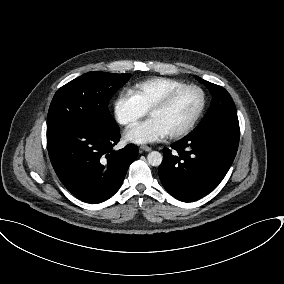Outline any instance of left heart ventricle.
I'll return each instance as SVG.
<instances>
[{"label":"left heart ventricle","mask_w":284,"mask_h":284,"mask_svg":"<svg viewBox=\"0 0 284 284\" xmlns=\"http://www.w3.org/2000/svg\"><path fill=\"white\" fill-rule=\"evenodd\" d=\"M201 95L195 89L181 92L174 101L164 109L151 114L168 132L177 131L186 126L197 112Z\"/></svg>","instance_id":"obj_1"}]
</instances>
